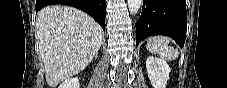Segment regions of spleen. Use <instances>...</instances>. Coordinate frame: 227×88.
<instances>
[{
  "label": "spleen",
  "mask_w": 227,
  "mask_h": 88,
  "mask_svg": "<svg viewBox=\"0 0 227 88\" xmlns=\"http://www.w3.org/2000/svg\"><path fill=\"white\" fill-rule=\"evenodd\" d=\"M146 47L151 53H158L162 59L171 61L178 58L177 49L169 45V38L165 36H153L147 41Z\"/></svg>",
  "instance_id": "obj_1"
}]
</instances>
